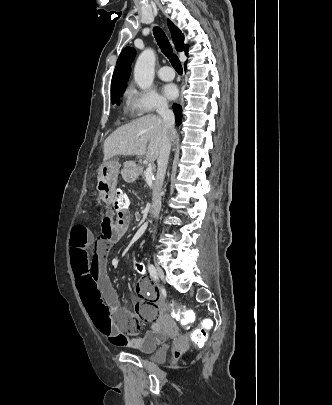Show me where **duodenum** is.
Returning <instances> with one entry per match:
<instances>
[{
    "instance_id": "1",
    "label": "duodenum",
    "mask_w": 332,
    "mask_h": 405,
    "mask_svg": "<svg viewBox=\"0 0 332 405\" xmlns=\"http://www.w3.org/2000/svg\"><path fill=\"white\" fill-rule=\"evenodd\" d=\"M119 217H120V218H123V217H124V214H123V213H120V214H119Z\"/></svg>"
}]
</instances>
